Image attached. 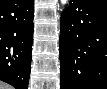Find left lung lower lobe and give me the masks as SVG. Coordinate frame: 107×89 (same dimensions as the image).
<instances>
[{"label":"left lung lower lobe","mask_w":107,"mask_h":89,"mask_svg":"<svg viewBox=\"0 0 107 89\" xmlns=\"http://www.w3.org/2000/svg\"><path fill=\"white\" fill-rule=\"evenodd\" d=\"M61 89H107V0H70L61 17Z\"/></svg>","instance_id":"0a47b994"}]
</instances>
